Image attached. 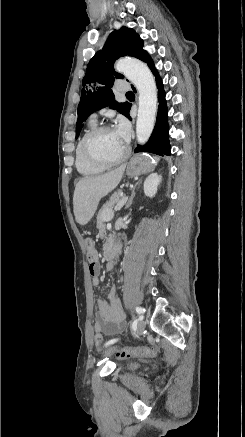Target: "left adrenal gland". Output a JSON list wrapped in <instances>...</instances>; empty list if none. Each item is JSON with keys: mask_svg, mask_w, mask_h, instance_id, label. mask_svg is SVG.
Instances as JSON below:
<instances>
[{"mask_svg": "<svg viewBox=\"0 0 245 437\" xmlns=\"http://www.w3.org/2000/svg\"><path fill=\"white\" fill-rule=\"evenodd\" d=\"M140 181H141V180H139V181L137 182V184H139ZM134 197H135V188L133 189L132 194H131V197H130V199H129V201H128L126 207H125L126 209L129 208V207L132 205V202H133Z\"/></svg>", "mask_w": 245, "mask_h": 437, "instance_id": "1", "label": "left adrenal gland"}]
</instances>
